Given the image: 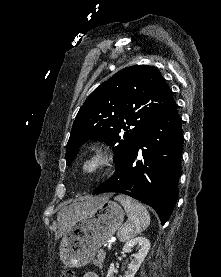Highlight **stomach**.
Masks as SVG:
<instances>
[{
  "mask_svg": "<svg viewBox=\"0 0 221 277\" xmlns=\"http://www.w3.org/2000/svg\"><path fill=\"white\" fill-rule=\"evenodd\" d=\"M124 212L109 199L84 207L68 223L59 246L60 260L66 267L79 268L89 264L99 248L120 228Z\"/></svg>",
  "mask_w": 221,
  "mask_h": 277,
  "instance_id": "stomach-1",
  "label": "stomach"
}]
</instances>
